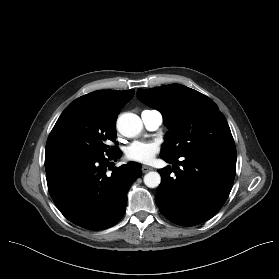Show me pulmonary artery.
I'll use <instances>...</instances> for the list:
<instances>
[{
  "label": "pulmonary artery",
  "mask_w": 279,
  "mask_h": 279,
  "mask_svg": "<svg viewBox=\"0 0 279 279\" xmlns=\"http://www.w3.org/2000/svg\"><path fill=\"white\" fill-rule=\"evenodd\" d=\"M141 119H142L145 127L152 131L158 129L163 122V116L157 110L143 111L141 114Z\"/></svg>",
  "instance_id": "1"
}]
</instances>
